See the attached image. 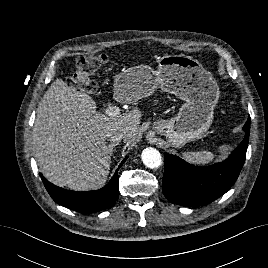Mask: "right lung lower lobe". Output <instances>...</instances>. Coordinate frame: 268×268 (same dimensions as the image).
<instances>
[{"mask_svg": "<svg viewBox=\"0 0 268 268\" xmlns=\"http://www.w3.org/2000/svg\"><path fill=\"white\" fill-rule=\"evenodd\" d=\"M126 159L127 158L121 162L118 169L123 165ZM117 171L106 186L99 190L87 192H76L60 188L47 181L41 173L40 176L48 193L56 203L76 212L91 214L111 208L118 200L119 178Z\"/></svg>", "mask_w": 268, "mask_h": 268, "instance_id": "1", "label": "right lung lower lobe"}]
</instances>
